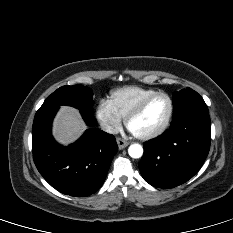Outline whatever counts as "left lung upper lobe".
I'll return each mask as SVG.
<instances>
[{"instance_id": "5c2ea615", "label": "left lung upper lobe", "mask_w": 233, "mask_h": 233, "mask_svg": "<svg viewBox=\"0 0 233 233\" xmlns=\"http://www.w3.org/2000/svg\"><path fill=\"white\" fill-rule=\"evenodd\" d=\"M194 110H208L197 92L187 88L173 94V119Z\"/></svg>"}]
</instances>
